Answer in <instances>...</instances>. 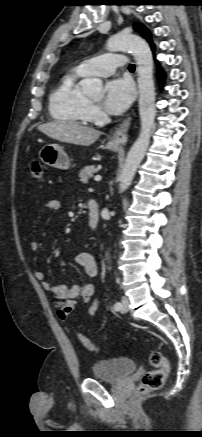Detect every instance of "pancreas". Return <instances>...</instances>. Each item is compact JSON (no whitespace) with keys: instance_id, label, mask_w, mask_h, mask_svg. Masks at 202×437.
I'll return each instance as SVG.
<instances>
[{"instance_id":"pancreas-1","label":"pancreas","mask_w":202,"mask_h":437,"mask_svg":"<svg viewBox=\"0 0 202 437\" xmlns=\"http://www.w3.org/2000/svg\"><path fill=\"white\" fill-rule=\"evenodd\" d=\"M97 172L98 169L93 165L84 167L79 173L80 181L82 183H88L89 178L93 177Z\"/></svg>"}]
</instances>
